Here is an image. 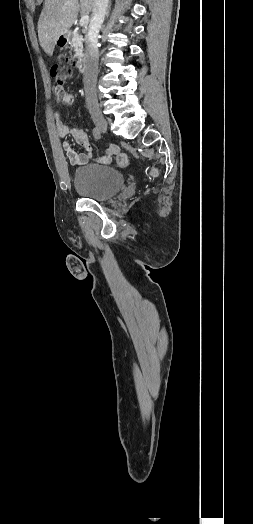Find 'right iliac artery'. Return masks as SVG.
Instances as JSON below:
<instances>
[{"label":"right iliac artery","mask_w":253,"mask_h":524,"mask_svg":"<svg viewBox=\"0 0 253 524\" xmlns=\"http://www.w3.org/2000/svg\"><path fill=\"white\" fill-rule=\"evenodd\" d=\"M93 136H94V138H95L96 140H98V139L100 138V136H101V135H100V131L98 130L97 127H95V128L93 129Z\"/></svg>","instance_id":"82829eb1"}]
</instances>
